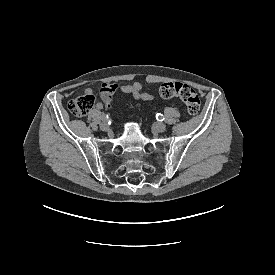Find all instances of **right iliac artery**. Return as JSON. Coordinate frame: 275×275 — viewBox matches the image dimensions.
Returning a JSON list of instances; mask_svg holds the SVG:
<instances>
[{
	"label": "right iliac artery",
	"instance_id": "right-iliac-artery-1",
	"mask_svg": "<svg viewBox=\"0 0 275 275\" xmlns=\"http://www.w3.org/2000/svg\"><path fill=\"white\" fill-rule=\"evenodd\" d=\"M108 118H109V116L106 115V114H102V115H101V119H102V120H107Z\"/></svg>",
	"mask_w": 275,
	"mask_h": 275
}]
</instances>
